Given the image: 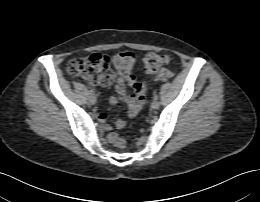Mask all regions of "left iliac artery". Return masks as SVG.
Returning a JSON list of instances; mask_svg holds the SVG:
<instances>
[{"instance_id":"44dca946","label":"left iliac artery","mask_w":260,"mask_h":202,"mask_svg":"<svg viewBox=\"0 0 260 202\" xmlns=\"http://www.w3.org/2000/svg\"><path fill=\"white\" fill-rule=\"evenodd\" d=\"M153 98H154L155 100H157V99H158V95H157L156 93H154Z\"/></svg>"}]
</instances>
